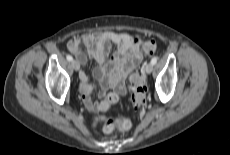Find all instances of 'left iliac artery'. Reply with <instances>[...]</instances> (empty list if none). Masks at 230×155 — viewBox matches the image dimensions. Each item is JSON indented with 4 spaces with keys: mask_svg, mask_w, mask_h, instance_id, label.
I'll use <instances>...</instances> for the list:
<instances>
[{
    "mask_svg": "<svg viewBox=\"0 0 230 155\" xmlns=\"http://www.w3.org/2000/svg\"><path fill=\"white\" fill-rule=\"evenodd\" d=\"M151 63L153 65H155L157 63V57H153L152 60H151Z\"/></svg>",
    "mask_w": 230,
    "mask_h": 155,
    "instance_id": "44dca946",
    "label": "left iliac artery"
}]
</instances>
